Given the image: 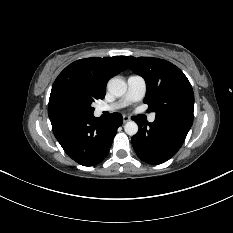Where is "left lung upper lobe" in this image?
Returning <instances> with one entry per match:
<instances>
[{"instance_id":"left-lung-upper-lobe-1","label":"left lung upper lobe","mask_w":233,"mask_h":233,"mask_svg":"<svg viewBox=\"0 0 233 233\" xmlns=\"http://www.w3.org/2000/svg\"><path fill=\"white\" fill-rule=\"evenodd\" d=\"M128 67L146 82L144 103L166 117L192 126L194 94L184 73L172 63L153 57L122 56Z\"/></svg>"}]
</instances>
